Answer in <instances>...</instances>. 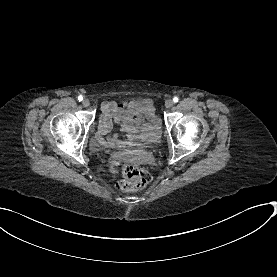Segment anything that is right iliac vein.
<instances>
[{
    "label": "right iliac vein",
    "instance_id": "63e3f726",
    "mask_svg": "<svg viewBox=\"0 0 277 277\" xmlns=\"http://www.w3.org/2000/svg\"><path fill=\"white\" fill-rule=\"evenodd\" d=\"M82 104L84 107H88L90 105V101L88 99H84Z\"/></svg>",
    "mask_w": 277,
    "mask_h": 277
}]
</instances>
